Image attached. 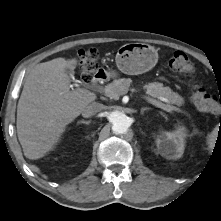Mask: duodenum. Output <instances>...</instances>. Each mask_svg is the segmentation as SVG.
Here are the masks:
<instances>
[{
  "instance_id": "duodenum-1",
  "label": "duodenum",
  "mask_w": 221,
  "mask_h": 221,
  "mask_svg": "<svg viewBox=\"0 0 221 221\" xmlns=\"http://www.w3.org/2000/svg\"><path fill=\"white\" fill-rule=\"evenodd\" d=\"M107 79H108V75L104 70H98L93 76V80L95 84L104 82Z\"/></svg>"
}]
</instances>
